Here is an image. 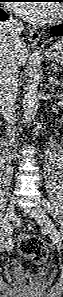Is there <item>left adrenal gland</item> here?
Wrapping results in <instances>:
<instances>
[{
  "mask_svg": "<svg viewBox=\"0 0 63 297\" xmlns=\"http://www.w3.org/2000/svg\"><path fill=\"white\" fill-rule=\"evenodd\" d=\"M49 82L53 85V86H62V83L60 82V81H58L57 79H56V77H53L52 75H51V72L49 73Z\"/></svg>",
  "mask_w": 63,
  "mask_h": 297,
  "instance_id": "obj_1",
  "label": "left adrenal gland"
}]
</instances>
